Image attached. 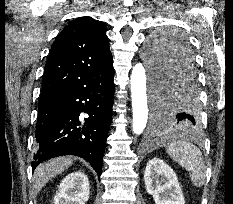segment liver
<instances>
[{
	"label": "liver",
	"mask_w": 233,
	"mask_h": 204,
	"mask_svg": "<svg viewBox=\"0 0 233 204\" xmlns=\"http://www.w3.org/2000/svg\"><path fill=\"white\" fill-rule=\"evenodd\" d=\"M73 163L70 157H57L40 164L34 172V196L56 175L68 169Z\"/></svg>",
	"instance_id": "6515ba94"
}]
</instances>
